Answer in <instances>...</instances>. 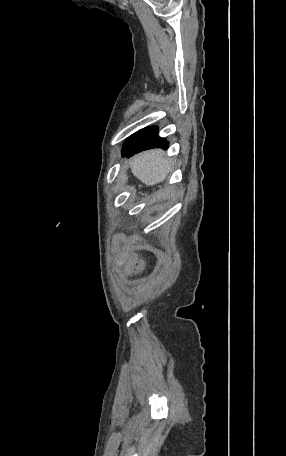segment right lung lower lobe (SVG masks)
I'll return each mask as SVG.
<instances>
[{"instance_id": "obj_1", "label": "right lung lower lobe", "mask_w": 286, "mask_h": 456, "mask_svg": "<svg viewBox=\"0 0 286 456\" xmlns=\"http://www.w3.org/2000/svg\"><path fill=\"white\" fill-rule=\"evenodd\" d=\"M154 147L168 148L166 139L158 136V127L151 126L142 130L129 137L122 149V156L130 157L133 154L140 152L145 149Z\"/></svg>"}]
</instances>
